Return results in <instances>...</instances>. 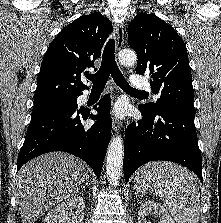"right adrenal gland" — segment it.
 Here are the masks:
<instances>
[{"label":"right adrenal gland","mask_w":221,"mask_h":223,"mask_svg":"<svg viewBox=\"0 0 221 223\" xmlns=\"http://www.w3.org/2000/svg\"><path fill=\"white\" fill-rule=\"evenodd\" d=\"M85 186H88L89 188H91V186H90V182H89V178H88V177L86 178V182H85V184H84L81 188L84 189Z\"/></svg>","instance_id":"2a0ac1e0"}]
</instances>
